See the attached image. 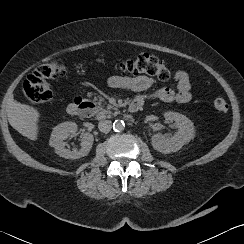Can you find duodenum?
Wrapping results in <instances>:
<instances>
[{
  "mask_svg": "<svg viewBox=\"0 0 244 244\" xmlns=\"http://www.w3.org/2000/svg\"><path fill=\"white\" fill-rule=\"evenodd\" d=\"M131 111H137L132 104H130ZM68 112L71 114H79L82 116H90L95 112L94 104L85 99L75 100L68 106Z\"/></svg>",
  "mask_w": 244,
  "mask_h": 244,
  "instance_id": "1",
  "label": "duodenum"
}]
</instances>
